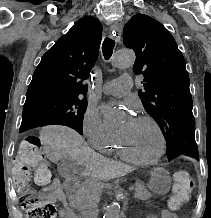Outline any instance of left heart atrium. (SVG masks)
<instances>
[{
    "mask_svg": "<svg viewBox=\"0 0 211 218\" xmlns=\"http://www.w3.org/2000/svg\"><path fill=\"white\" fill-rule=\"evenodd\" d=\"M125 106H127L128 108H132L133 107V105L131 103H129V102H126ZM134 120H135L134 118L129 117L128 120H127V123L131 124Z\"/></svg>",
    "mask_w": 211,
    "mask_h": 218,
    "instance_id": "left-heart-atrium-1",
    "label": "left heart atrium"
}]
</instances>
